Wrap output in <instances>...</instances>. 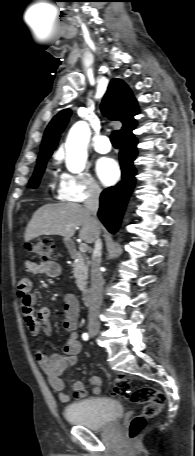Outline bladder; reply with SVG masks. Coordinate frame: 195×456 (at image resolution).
I'll list each match as a JSON object with an SVG mask.
<instances>
[{
  "label": "bladder",
  "mask_w": 195,
  "mask_h": 456,
  "mask_svg": "<svg viewBox=\"0 0 195 456\" xmlns=\"http://www.w3.org/2000/svg\"><path fill=\"white\" fill-rule=\"evenodd\" d=\"M123 414L121 404L109 398H92L74 402L64 409L65 419L72 424L99 430L116 423Z\"/></svg>",
  "instance_id": "bladder-1"
}]
</instances>
